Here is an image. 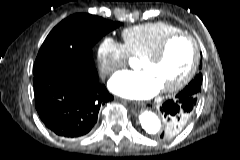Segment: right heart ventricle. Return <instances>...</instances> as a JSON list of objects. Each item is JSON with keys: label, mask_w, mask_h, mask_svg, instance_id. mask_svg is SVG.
Segmentation results:
<instances>
[{"label": "right heart ventricle", "mask_w": 240, "mask_h": 160, "mask_svg": "<svg viewBox=\"0 0 240 160\" xmlns=\"http://www.w3.org/2000/svg\"><path fill=\"white\" fill-rule=\"evenodd\" d=\"M177 26L166 22H152L126 28L122 32L128 53L142 58L151 53L167 35L179 32Z\"/></svg>", "instance_id": "e07e8e85"}]
</instances>
